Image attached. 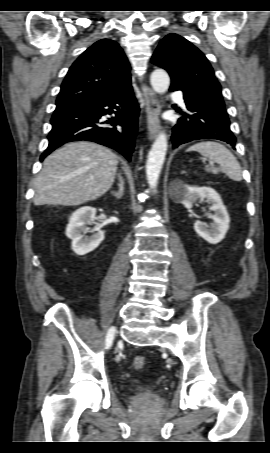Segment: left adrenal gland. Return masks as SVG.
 <instances>
[{
	"label": "left adrenal gland",
	"mask_w": 270,
	"mask_h": 453,
	"mask_svg": "<svg viewBox=\"0 0 270 453\" xmlns=\"http://www.w3.org/2000/svg\"><path fill=\"white\" fill-rule=\"evenodd\" d=\"M182 173L184 174V173H186V172H185V171H182Z\"/></svg>",
	"instance_id": "left-adrenal-gland-1"
}]
</instances>
